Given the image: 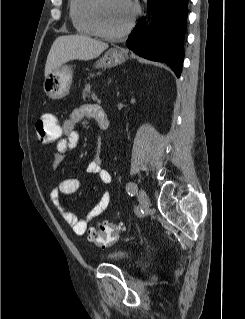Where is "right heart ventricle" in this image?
Here are the masks:
<instances>
[{
	"label": "right heart ventricle",
	"mask_w": 245,
	"mask_h": 319,
	"mask_svg": "<svg viewBox=\"0 0 245 319\" xmlns=\"http://www.w3.org/2000/svg\"><path fill=\"white\" fill-rule=\"evenodd\" d=\"M93 0H69V16L75 30L82 35H98L92 22Z\"/></svg>",
	"instance_id": "e07e8e85"
}]
</instances>
